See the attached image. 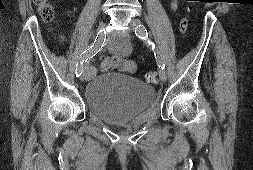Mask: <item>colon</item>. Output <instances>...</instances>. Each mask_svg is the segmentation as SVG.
<instances>
[{
	"label": "colon",
	"mask_w": 253,
	"mask_h": 170,
	"mask_svg": "<svg viewBox=\"0 0 253 170\" xmlns=\"http://www.w3.org/2000/svg\"><path fill=\"white\" fill-rule=\"evenodd\" d=\"M33 1L38 6L39 13L44 20L49 21L53 18L54 6L48 0H33ZM187 1L189 2L194 0H187ZM191 9H192L191 5L188 4L185 8V14L180 20L179 30L182 34H186L188 31L189 26L188 13L191 11ZM135 68L136 67H131V70H135ZM145 78L150 83H156L158 81V74L155 71H149L146 73Z\"/></svg>",
	"instance_id": "5ec220e1"
}]
</instances>
